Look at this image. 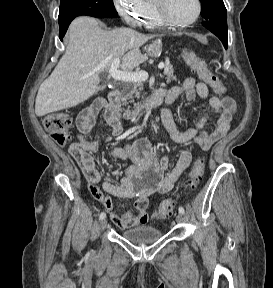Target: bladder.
Returning a JSON list of instances; mask_svg holds the SVG:
<instances>
[{"label":"bladder","instance_id":"obj_1","mask_svg":"<svg viewBox=\"0 0 273 288\" xmlns=\"http://www.w3.org/2000/svg\"><path fill=\"white\" fill-rule=\"evenodd\" d=\"M121 236L134 244H149L157 241L162 236L161 230L147 225H139L122 232Z\"/></svg>","mask_w":273,"mask_h":288}]
</instances>
